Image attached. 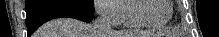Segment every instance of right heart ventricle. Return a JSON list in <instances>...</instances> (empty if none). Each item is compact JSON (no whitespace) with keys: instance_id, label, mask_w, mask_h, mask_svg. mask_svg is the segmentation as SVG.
Segmentation results:
<instances>
[{"instance_id":"obj_1","label":"right heart ventricle","mask_w":219,"mask_h":37,"mask_svg":"<svg viewBox=\"0 0 219 37\" xmlns=\"http://www.w3.org/2000/svg\"><path fill=\"white\" fill-rule=\"evenodd\" d=\"M130 3L131 0H127L124 1L122 4V9L125 12V16L122 19V23L126 26V27H130V28H136V27H140L139 25H137L131 18L129 11H130Z\"/></svg>"}]
</instances>
